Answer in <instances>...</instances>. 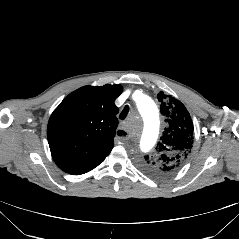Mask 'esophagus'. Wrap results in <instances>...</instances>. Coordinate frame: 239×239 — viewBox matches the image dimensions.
<instances>
[{
    "mask_svg": "<svg viewBox=\"0 0 239 239\" xmlns=\"http://www.w3.org/2000/svg\"><path fill=\"white\" fill-rule=\"evenodd\" d=\"M116 136L117 138H119L121 141H125L129 138L128 132L123 128V127H119L116 130Z\"/></svg>",
    "mask_w": 239,
    "mask_h": 239,
    "instance_id": "34e87169",
    "label": "esophagus"
}]
</instances>
